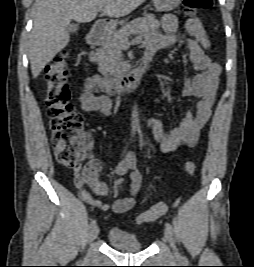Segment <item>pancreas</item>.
<instances>
[{
    "label": "pancreas",
    "mask_w": 254,
    "mask_h": 267,
    "mask_svg": "<svg viewBox=\"0 0 254 267\" xmlns=\"http://www.w3.org/2000/svg\"><path fill=\"white\" fill-rule=\"evenodd\" d=\"M159 26L160 23L155 17L147 16L134 19L120 30L109 32L102 40L101 47L91 54L92 61L98 64L101 73L119 77L125 67L121 62V51L129 36L137 34L141 37H150Z\"/></svg>",
    "instance_id": "pancreas-1"
}]
</instances>
